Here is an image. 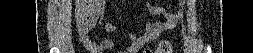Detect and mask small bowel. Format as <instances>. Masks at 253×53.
Listing matches in <instances>:
<instances>
[{
    "mask_svg": "<svg viewBox=\"0 0 253 53\" xmlns=\"http://www.w3.org/2000/svg\"><path fill=\"white\" fill-rule=\"evenodd\" d=\"M92 2L95 7L91 21L86 26L78 27L77 34L80 42L88 51L92 53H99L104 49H111L114 44L110 40L97 42L93 39H90L88 34L93 29L94 24L96 23V21H98L107 31L110 32L115 31L116 27L104 22L103 2L98 0H94ZM161 13H163L167 17L166 22L157 25L145 24V32L142 35L138 36L135 33H131L129 35V45L127 47V51L129 53H136L143 45L153 41L154 39L162 35L164 32L171 29L179 18V14L167 12L165 9H162Z\"/></svg>",
    "mask_w": 253,
    "mask_h": 53,
    "instance_id": "obj_1",
    "label": "small bowel"
}]
</instances>
